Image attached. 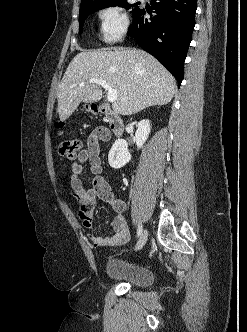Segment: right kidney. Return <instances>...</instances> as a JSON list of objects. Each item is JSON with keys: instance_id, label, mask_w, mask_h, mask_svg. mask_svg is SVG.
<instances>
[{"instance_id": "ca27d5eb", "label": "right kidney", "mask_w": 247, "mask_h": 332, "mask_svg": "<svg viewBox=\"0 0 247 332\" xmlns=\"http://www.w3.org/2000/svg\"><path fill=\"white\" fill-rule=\"evenodd\" d=\"M150 133L149 120H141L137 125L135 141L138 149L142 148ZM131 160V154L128 151V143L124 139H118L113 144L108 154L109 165L118 169L126 165Z\"/></svg>"}]
</instances>
